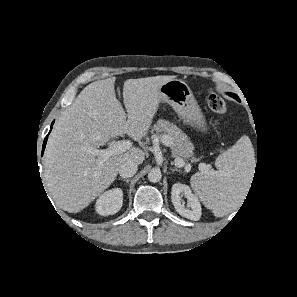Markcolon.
Instances as JSON below:
<instances>
[{
  "label": "colon",
  "mask_w": 297,
  "mask_h": 297,
  "mask_svg": "<svg viewBox=\"0 0 297 297\" xmlns=\"http://www.w3.org/2000/svg\"><path fill=\"white\" fill-rule=\"evenodd\" d=\"M207 104L210 110L220 116L229 114L225 101L217 93L210 91L207 96Z\"/></svg>",
  "instance_id": "1"
}]
</instances>
